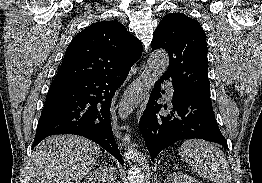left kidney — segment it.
I'll return each instance as SVG.
<instances>
[{"instance_id":"5707ae66","label":"left kidney","mask_w":262,"mask_h":183,"mask_svg":"<svg viewBox=\"0 0 262 183\" xmlns=\"http://www.w3.org/2000/svg\"><path fill=\"white\" fill-rule=\"evenodd\" d=\"M165 183H200V182L195 178L188 176L187 174L175 172L170 174L166 178Z\"/></svg>"}]
</instances>
